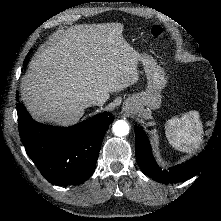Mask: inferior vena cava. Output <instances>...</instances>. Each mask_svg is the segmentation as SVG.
<instances>
[{"label":"inferior vena cava","instance_id":"obj_1","mask_svg":"<svg viewBox=\"0 0 221 221\" xmlns=\"http://www.w3.org/2000/svg\"><path fill=\"white\" fill-rule=\"evenodd\" d=\"M104 104V99L101 97H92L87 100V105L92 106V105H103Z\"/></svg>","mask_w":221,"mask_h":221}]
</instances>
